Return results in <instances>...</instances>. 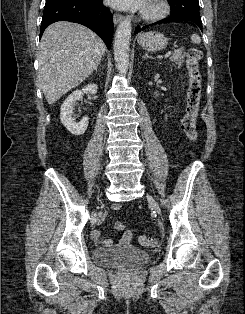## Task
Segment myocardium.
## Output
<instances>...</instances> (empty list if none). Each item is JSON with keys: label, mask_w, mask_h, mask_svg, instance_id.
I'll use <instances>...</instances> for the list:
<instances>
[{"label": "myocardium", "mask_w": 245, "mask_h": 314, "mask_svg": "<svg viewBox=\"0 0 245 314\" xmlns=\"http://www.w3.org/2000/svg\"><path fill=\"white\" fill-rule=\"evenodd\" d=\"M170 5L167 0H149L142 12V18L146 21H157L168 15Z\"/></svg>", "instance_id": "obj_1"}]
</instances>
